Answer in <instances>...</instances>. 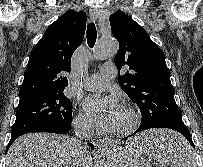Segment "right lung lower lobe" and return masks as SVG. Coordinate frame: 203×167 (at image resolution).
<instances>
[{"label": "right lung lower lobe", "instance_id": "98d812e1", "mask_svg": "<svg viewBox=\"0 0 203 167\" xmlns=\"http://www.w3.org/2000/svg\"><path fill=\"white\" fill-rule=\"evenodd\" d=\"M71 130V123L68 124H63V125H55V126H48V127H44L41 129H37L33 132H50V133H59V134H66L67 132H69ZM19 137V136H18ZM18 137H13L11 138V140L9 141V144L7 145L6 151L9 149V147L11 146V144L18 138ZM89 145L91 147H93L92 144L89 143Z\"/></svg>", "mask_w": 203, "mask_h": 167}]
</instances>
